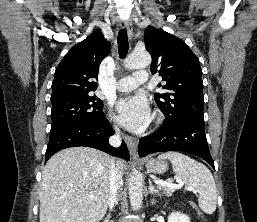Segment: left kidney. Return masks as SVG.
I'll return each mask as SVG.
<instances>
[{
    "mask_svg": "<svg viewBox=\"0 0 257 222\" xmlns=\"http://www.w3.org/2000/svg\"><path fill=\"white\" fill-rule=\"evenodd\" d=\"M168 222H190V218L180 212H172L168 217Z\"/></svg>",
    "mask_w": 257,
    "mask_h": 222,
    "instance_id": "left-kidney-1",
    "label": "left kidney"
}]
</instances>
